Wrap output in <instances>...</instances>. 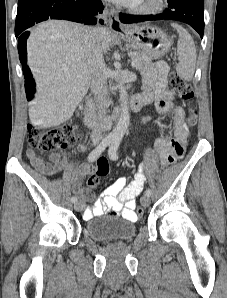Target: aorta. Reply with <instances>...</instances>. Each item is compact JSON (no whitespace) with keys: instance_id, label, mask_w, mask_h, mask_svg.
Masks as SVG:
<instances>
[{"instance_id":"aorta-1","label":"aorta","mask_w":227,"mask_h":298,"mask_svg":"<svg viewBox=\"0 0 227 298\" xmlns=\"http://www.w3.org/2000/svg\"><path fill=\"white\" fill-rule=\"evenodd\" d=\"M117 88L120 92L121 113L117 125L110 133V137L115 140H121L130 124V113L128 108V95L124 83L120 81L117 84Z\"/></svg>"}]
</instances>
